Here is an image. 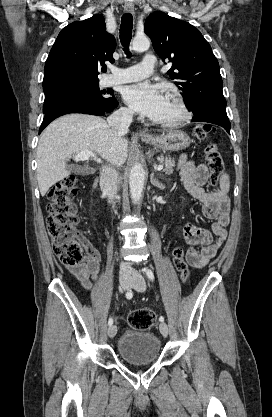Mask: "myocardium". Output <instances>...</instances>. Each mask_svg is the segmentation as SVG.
Returning a JSON list of instances; mask_svg holds the SVG:
<instances>
[{"instance_id":"myocardium-1","label":"myocardium","mask_w":272,"mask_h":417,"mask_svg":"<svg viewBox=\"0 0 272 417\" xmlns=\"http://www.w3.org/2000/svg\"><path fill=\"white\" fill-rule=\"evenodd\" d=\"M168 97L172 99L180 110V116L170 121H156L155 123L163 128L174 129L185 125L191 119V111L185 98L178 92H170Z\"/></svg>"}]
</instances>
